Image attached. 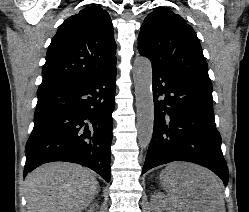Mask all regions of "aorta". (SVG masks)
<instances>
[{
  "instance_id": "obj_1",
  "label": "aorta",
  "mask_w": 249,
  "mask_h": 212,
  "mask_svg": "<svg viewBox=\"0 0 249 212\" xmlns=\"http://www.w3.org/2000/svg\"><path fill=\"white\" fill-rule=\"evenodd\" d=\"M137 107V131L141 148L151 142L154 126V101L152 93V65L149 59L137 57L133 65Z\"/></svg>"
}]
</instances>
